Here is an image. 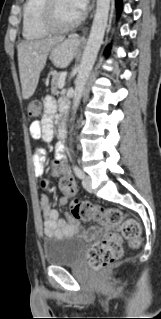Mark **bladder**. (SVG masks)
Wrapping results in <instances>:
<instances>
[{
	"mask_svg": "<svg viewBox=\"0 0 161 319\" xmlns=\"http://www.w3.org/2000/svg\"><path fill=\"white\" fill-rule=\"evenodd\" d=\"M84 249L85 242L79 236H46L43 241L44 263L54 266L73 265L81 259Z\"/></svg>",
	"mask_w": 161,
	"mask_h": 319,
	"instance_id": "obj_1",
	"label": "bladder"
}]
</instances>
